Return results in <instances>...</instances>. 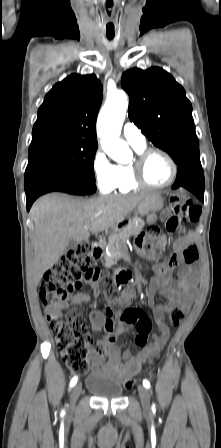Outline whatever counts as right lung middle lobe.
<instances>
[{
  "label": "right lung middle lobe",
  "instance_id": "right-lung-middle-lobe-1",
  "mask_svg": "<svg viewBox=\"0 0 221 448\" xmlns=\"http://www.w3.org/2000/svg\"><path fill=\"white\" fill-rule=\"evenodd\" d=\"M96 141H61L29 148L25 174L50 172L69 179L95 182Z\"/></svg>",
  "mask_w": 221,
  "mask_h": 448
}]
</instances>
